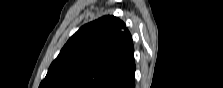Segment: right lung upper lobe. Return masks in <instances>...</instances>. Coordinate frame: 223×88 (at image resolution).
<instances>
[{"label":"right lung upper lobe","mask_w":223,"mask_h":88,"mask_svg":"<svg viewBox=\"0 0 223 88\" xmlns=\"http://www.w3.org/2000/svg\"><path fill=\"white\" fill-rule=\"evenodd\" d=\"M134 73L130 32L117 17L104 16L68 40L40 88H131Z\"/></svg>","instance_id":"right-lung-upper-lobe-1"}]
</instances>
